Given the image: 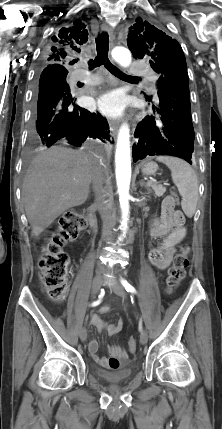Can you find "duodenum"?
<instances>
[{
	"label": "duodenum",
	"mask_w": 222,
	"mask_h": 429,
	"mask_svg": "<svg viewBox=\"0 0 222 429\" xmlns=\"http://www.w3.org/2000/svg\"><path fill=\"white\" fill-rule=\"evenodd\" d=\"M87 222L89 224V227L92 231H95L97 229V219L96 216L94 215V213L92 211H89L87 213Z\"/></svg>",
	"instance_id": "410a0bca"
}]
</instances>
